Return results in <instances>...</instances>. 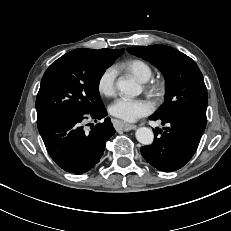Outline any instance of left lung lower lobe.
I'll list each match as a JSON object with an SVG mask.
<instances>
[{
	"instance_id": "left-lung-lower-lobe-1",
	"label": "left lung lower lobe",
	"mask_w": 231,
	"mask_h": 231,
	"mask_svg": "<svg viewBox=\"0 0 231 231\" xmlns=\"http://www.w3.org/2000/svg\"><path fill=\"white\" fill-rule=\"evenodd\" d=\"M150 120H161L164 131L155 129V139L151 145L141 148L145 160L163 172L182 168L194 155L206 121L187 115H170L167 117L150 116Z\"/></svg>"
}]
</instances>
